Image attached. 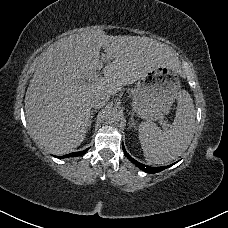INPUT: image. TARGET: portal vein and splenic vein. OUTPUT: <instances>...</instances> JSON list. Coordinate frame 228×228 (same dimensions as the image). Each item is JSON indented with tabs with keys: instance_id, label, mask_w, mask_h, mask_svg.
Listing matches in <instances>:
<instances>
[{
	"instance_id": "1",
	"label": "portal vein and splenic vein",
	"mask_w": 228,
	"mask_h": 228,
	"mask_svg": "<svg viewBox=\"0 0 228 228\" xmlns=\"http://www.w3.org/2000/svg\"><path fill=\"white\" fill-rule=\"evenodd\" d=\"M106 61H108L107 58L105 57L104 54H102V62H106ZM100 76H101V73L97 72L96 77H100ZM160 124L162 125L163 129H168V125H166L165 123L161 122Z\"/></svg>"
}]
</instances>
